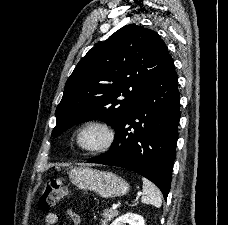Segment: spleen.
<instances>
[{
  "label": "spleen",
  "instance_id": "1",
  "mask_svg": "<svg viewBox=\"0 0 228 225\" xmlns=\"http://www.w3.org/2000/svg\"><path fill=\"white\" fill-rule=\"evenodd\" d=\"M143 181V197H141L142 203L145 205H154V207H161L162 199L161 193L153 183H150L148 179H142Z\"/></svg>",
  "mask_w": 228,
  "mask_h": 225
}]
</instances>
